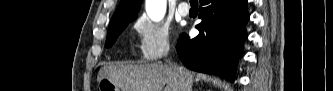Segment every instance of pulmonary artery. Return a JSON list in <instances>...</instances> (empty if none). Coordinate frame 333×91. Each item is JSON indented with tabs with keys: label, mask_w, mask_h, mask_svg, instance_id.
<instances>
[{
	"label": "pulmonary artery",
	"mask_w": 333,
	"mask_h": 91,
	"mask_svg": "<svg viewBox=\"0 0 333 91\" xmlns=\"http://www.w3.org/2000/svg\"><path fill=\"white\" fill-rule=\"evenodd\" d=\"M178 12L181 16H187L189 14V6L186 2H181L178 6Z\"/></svg>",
	"instance_id": "pulmonary-artery-1"
}]
</instances>
